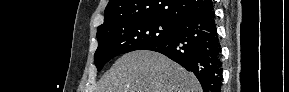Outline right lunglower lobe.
Instances as JSON below:
<instances>
[{
	"label": "right lung lower lobe",
	"mask_w": 289,
	"mask_h": 92,
	"mask_svg": "<svg viewBox=\"0 0 289 92\" xmlns=\"http://www.w3.org/2000/svg\"><path fill=\"white\" fill-rule=\"evenodd\" d=\"M143 49L162 53L192 71L203 92H220L221 49L213 8L182 19L170 38Z\"/></svg>",
	"instance_id": "obj_1"
}]
</instances>
